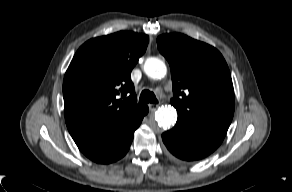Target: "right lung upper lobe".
I'll list each match as a JSON object with an SVG mask.
<instances>
[{"mask_svg": "<svg viewBox=\"0 0 292 192\" xmlns=\"http://www.w3.org/2000/svg\"><path fill=\"white\" fill-rule=\"evenodd\" d=\"M148 41L145 34L120 31L93 38L78 49L63 81L70 133L113 128L145 109L137 104L130 74Z\"/></svg>", "mask_w": 292, "mask_h": 192, "instance_id": "cb5924a9", "label": "right lung upper lobe"}]
</instances>
